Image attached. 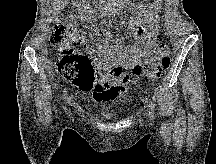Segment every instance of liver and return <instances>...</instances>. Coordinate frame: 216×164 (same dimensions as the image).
Listing matches in <instances>:
<instances>
[{
    "instance_id": "obj_1",
    "label": "liver",
    "mask_w": 216,
    "mask_h": 164,
    "mask_svg": "<svg viewBox=\"0 0 216 164\" xmlns=\"http://www.w3.org/2000/svg\"><path fill=\"white\" fill-rule=\"evenodd\" d=\"M65 1L66 0H55V2H61V3H63V4L56 5L55 10H57V11L61 10L64 7V2Z\"/></svg>"
}]
</instances>
